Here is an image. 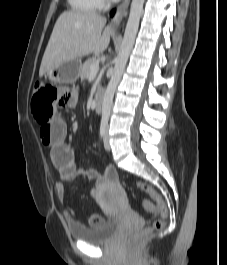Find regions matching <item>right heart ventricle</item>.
I'll return each instance as SVG.
<instances>
[{"label":"right heart ventricle","mask_w":227,"mask_h":265,"mask_svg":"<svg viewBox=\"0 0 227 265\" xmlns=\"http://www.w3.org/2000/svg\"><path fill=\"white\" fill-rule=\"evenodd\" d=\"M69 3L70 8L74 12H93L97 10L101 3L100 0H67Z\"/></svg>","instance_id":"e07e8e85"}]
</instances>
